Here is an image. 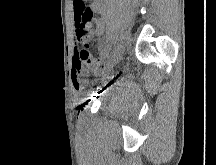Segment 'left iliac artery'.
<instances>
[{
  "label": "left iliac artery",
  "mask_w": 216,
  "mask_h": 165,
  "mask_svg": "<svg viewBox=\"0 0 216 165\" xmlns=\"http://www.w3.org/2000/svg\"><path fill=\"white\" fill-rule=\"evenodd\" d=\"M109 46H107L104 51L101 53L102 57L105 58L106 56H108V53H109Z\"/></svg>",
  "instance_id": "left-iliac-artery-1"
}]
</instances>
